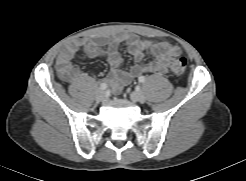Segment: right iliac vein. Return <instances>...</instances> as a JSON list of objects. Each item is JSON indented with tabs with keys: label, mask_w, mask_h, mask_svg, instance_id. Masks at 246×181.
<instances>
[{
	"label": "right iliac vein",
	"mask_w": 246,
	"mask_h": 181,
	"mask_svg": "<svg viewBox=\"0 0 246 181\" xmlns=\"http://www.w3.org/2000/svg\"><path fill=\"white\" fill-rule=\"evenodd\" d=\"M105 98H106L105 91L102 89H98L96 92V100L101 102V101L105 100Z\"/></svg>",
	"instance_id": "63e3f726"
}]
</instances>
